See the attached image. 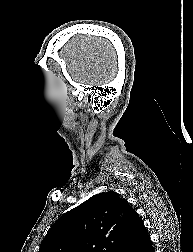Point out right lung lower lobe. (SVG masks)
Wrapping results in <instances>:
<instances>
[{
  "instance_id": "obj_1",
  "label": "right lung lower lobe",
  "mask_w": 193,
  "mask_h": 252,
  "mask_svg": "<svg viewBox=\"0 0 193 252\" xmlns=\"http://www.w3.org/2000/svg\"><path fill=\"white\" fill-rule=\"evenodd\" d=\"M128 252H155L146 229L141 232L138 240Z\"/></svg>"
}]
</instances>
